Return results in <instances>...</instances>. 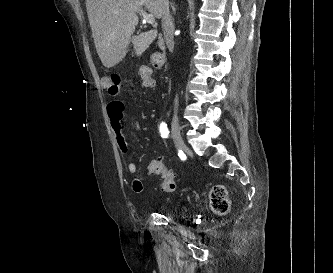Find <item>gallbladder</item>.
<instances>
[{"label":"gallbladder","instance_id":"obj_1","mask_svg":"<svg viewBox=\"0 0 333 273\" xmlns=\"http://www.w3.org/2000/svg\"><path fill=\"white\" fill-rule=\"evenodd\" d=\"M132 43L136 54L139 56L148 48L150 41L146 39L144 34H140L132 38Z\"/></svg>","mask_w":333,"mask_h":273}]
</instances>
